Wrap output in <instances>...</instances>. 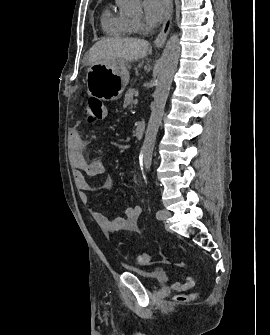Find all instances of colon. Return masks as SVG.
Segmentation results:
<instances>
[{"instance_id":"obj_1","label":"colon","mask_w":270,"mask_h":335,"mask_svg":"<svg viewBox=\"0 0 270 335\" xmlns=\"http://www.w3.org/2000/svg\"><path fill=\"white\" fill-rule=\"evenodd\" d=\"M106 114V108L103 101L95 96L88 99L87 106L84 110V116L89 123L100 122ZM134 262L139 265H148L151 262V254L147 251L136 252L133 255ZM194 296V293L182 294L178 296L180 301H186Z\"/></svg>"}]
</instances>
